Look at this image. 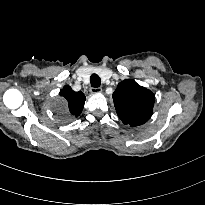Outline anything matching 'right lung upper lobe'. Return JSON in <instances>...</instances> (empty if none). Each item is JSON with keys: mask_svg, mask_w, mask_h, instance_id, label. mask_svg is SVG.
Instances as JSON below:
<instances>
[{"mask_svg": "<svg viewBox=\"0 0 205 205\" xmlns=\"http://www.w3.org/2000/svg\"><path fill=\"white\" fill-rule=\"evenodd\" d=\"M60 96L62 98L65 111L75 117H78L84 107L85 95L81 91H73L70 86L66 85L60 91Z\"/></svg>", "mask_w": 205, "mask_h": 205, "instance_id": "right-lung-upper-lobe-1", "label": "right lung upper lobe"}]
</instances>
